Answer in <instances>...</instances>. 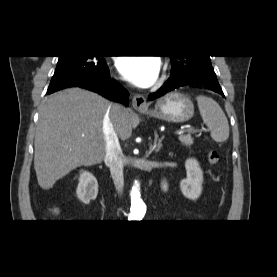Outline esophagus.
Segmentation results:
<instances>
[{
  "instance_id": "1",
  "label": "esophagus",
  "mask_w": 277,
  "mask_h": 277,
  "mask_svg": "<svg viewBox=\"0 0 277 277\" xmlns=\"http://www.w3.org/2000/svg\"><path fill=\"white\" fill-rule=\"evenodd\" d=\"M132 106L138 111L146 110L148 107L146 98L141 94H135L132 98Z\"/></svg>"
}]
</instances>
